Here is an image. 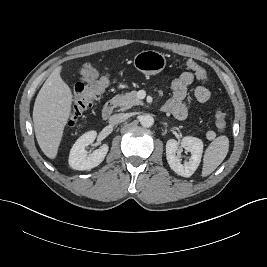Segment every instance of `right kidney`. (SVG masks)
Segmentation results:
<instances>
[{"label":"right kidney","mask_w":267,"mask_h":267,"mask_svg":"<svg viewBox=\"0 0 267 267\" xmlns=\"http://www.w3.org/2000/svg\"><path fill=\"white\" fill-rule=\"evenodd\" d=\"M96 131H89L77 139L69 154V165L72 169L84 171L98 166L105 158L109 147L103 144L93 153L88 154L85 147L94 142Z\"/></svg>","instance_id":"1"}]
</instances>
